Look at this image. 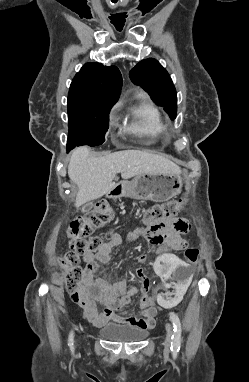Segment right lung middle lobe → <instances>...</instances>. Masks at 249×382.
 Masks as SVG:
<instances>
[{
  "mask_svg": "<svg viewBox=\"0 0 249 382\" xmlns=\"http://www.w3.org/2000/svg\"><path fill=\"white\" fill-rule=\"evenodd\" d=\"M111 107L112 104L107 102H97L68 110L67 151L80 145L98 146L104 143Z\"/></svg>",
  "mask_w": 249,
  "mask_h": 382,
  "instance_id": "right-lung-middle-lobe-1",
  "label": "right lung middle lobe"
}]
</instances>
